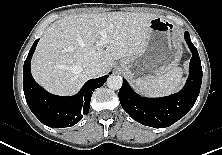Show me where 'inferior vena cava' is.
Masks as SVG:
<instances>
[{"label":"inferior vena cava","instance_id":"602c4592","mask_svg":"<svg viewBox=\"0 0 222 155\" xmlns=\"http://www.w3.org/2000/svg\"><path fill=\"white\" fill-rule=\"evenodd\" d=\"M85 71L90 77H96L100 75L101 68H100V65L97 63H90L86 67Z\"/></svg>","mask_w":222,"mask_h":155}]
</instances>
